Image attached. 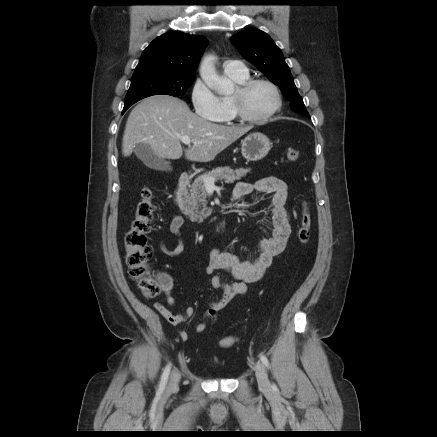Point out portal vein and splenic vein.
Masks as SVG:
<instances>
[{"label":"portal vein and splenic vein","instance_id":"1","mask_svg":"<svg viewBox=\"0 0 437 437\" xmlns=\"http://www.w3.org/2000/svg\"><path fill=\"white\" fill-rule=\"evenodd\" d=\"M185 145H190L192 142L189 137L186 136H178ZM204 186L206 190H214L215 189V180L212 177H205L204 178Z\"/></svg>","mask_w":437,"mask_h":437}]
</instances>
